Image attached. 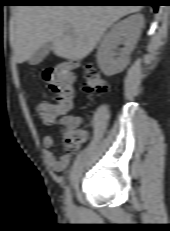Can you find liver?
<instances>
[{
  "instance_id": "1",
  "label": "liver",
  "mask_w": 170,
  "mask_h": 231,
  "mask_svg": "<svg viewBox=\"0 0 170 231\" xmlns=\"http://www.w3.org/2000/svg\"><path fill=\"white\" fill-rule=\"evenodd\" d=\"M141 9L139 5L17 6L10 24L16 61H27L46 42L53 43L56 56L82 60L113 23Z\"/></svg>"
}]
</instances>
